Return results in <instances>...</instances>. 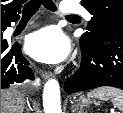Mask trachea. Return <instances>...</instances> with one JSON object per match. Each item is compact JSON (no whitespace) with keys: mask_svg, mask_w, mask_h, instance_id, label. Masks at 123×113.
Masks as SVG:
<instances>
[{"mask_svg":"<svg viewBox=\"0 0 123 113\" xmlns=\"http://www.w3.org/2000/svg\"><path fill=\"white\" fill-rule=\"evenodd\" d=\"M43 5L47 10L56 11V6L52 0H30L22 10V18H31ZM68 18H76V15H68Z\"/></svg>","mask_w":123,"mask_h":113,"instance_id":"obj_1","label":"trachea"}]
</instances>
